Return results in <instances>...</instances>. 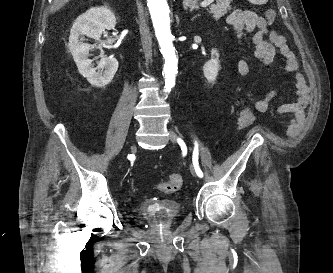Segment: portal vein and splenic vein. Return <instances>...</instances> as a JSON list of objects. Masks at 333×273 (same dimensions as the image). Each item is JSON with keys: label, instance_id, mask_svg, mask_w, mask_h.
Wrapping results in <instances>:
<instances>
[{"label": "portal vein and splenic vein", "instance_id": "1", "mask_svg": "<svg viewBox=\"0 0 333 273\" xmlns=\"http://www.w3.org/2000/svg\"><path fill=\"white\" fill-rule=\"evenodd\" d=\"M214 0H204L203 2L200 3L201 7H207L210 5Z\"/></svg>", "mask_w": 333, "mask_h": 273}]
</instances>
